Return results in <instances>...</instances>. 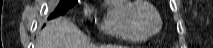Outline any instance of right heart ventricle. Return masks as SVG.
Instances as JSON below:
<instances>
[{
    "label": "right heart ventricle",
    "mask_w": 213,
    "mask_h": 48,
    "mask_svg": "<svg viewBox=\"0 0 213 48\" xmlns=\"http://www.w3.org/2000/svg\"><path fill=\"white\" fill-rule=\"evenodd\" d=\"M136 3L137 1L115 0L108 4L100 29L124 41H144L147 37L138 31L131 17Z\"/></svg>",
    "instance_id": "right-heart-ventricle-1"
}]
</instances>
